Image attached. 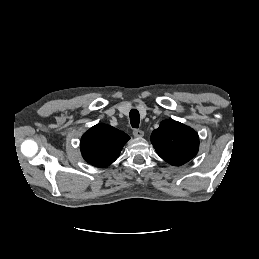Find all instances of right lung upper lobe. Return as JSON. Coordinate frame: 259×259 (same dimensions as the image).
Instances as JSON below:
<instances>
[{
    "label": "right lung upper lobe",
    "instance_id": "obj_1",
    "mask_svg": "<svg viewBox=\"0 0 259 259\" xmlns=\"http://www.w3.org/2000/svg\"><path fill=\"white\" fill-rule=\"evenodd\" d=\"M130 137L110 125L97 124L85 132L81 138L83 158L93 166L106 167L119 156Z\"/></svg>",
    "mask_w": 259,
    "mask_h": 259
}]
</instances>
